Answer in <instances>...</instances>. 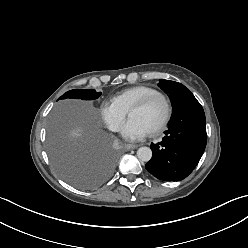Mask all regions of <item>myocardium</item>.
<instances>
[{
	"instance_id": "f54148a6",
	"label": "myocardium",
	"mask_w": 248,
	"mask_h": 248,
	"mask_svg": "<svg viewBox=\"0 0 248 248\" xmlns=\"http://www.w3.org/2000/svg\"><path fill=\"white\" fill-rule=\"evenodd\" d=\"M156 100H160L163 103L164 114L161 121L154 128L148 131L150 135H157L161 133L169 124L172 117V104L169 98L161 92H156L133 104L128 111L129 115L134 110H140L148 107Z\"/></svg>"
}]
</instances>
